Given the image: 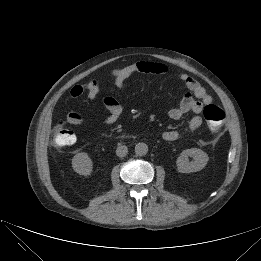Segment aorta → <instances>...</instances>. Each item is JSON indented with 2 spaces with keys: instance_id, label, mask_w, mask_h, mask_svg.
Returning <instances> with one entry per match:
<instances>
[{
  "instance_id": "1",
  "label": "aorta",
  "mask_w": 261,
  "mask_h": 261,
  "mask_svg": "<svg viewBox=\"0 0 261 261\" xmlns=\"http://www.w3.org/2000/svg\"><path fill=\"white\" fill-rule=\"evenodd\" d=\"M147 152H148L147 144H145L143 142L136 144V146H135V153H136V155L144 156V155L147 154Z\"/></svg>"
}]
</instances>
